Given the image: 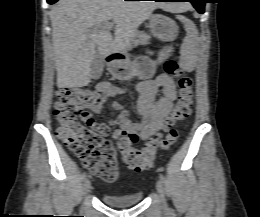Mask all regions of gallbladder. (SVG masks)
<instances>
[{
    "label": "gallbladder",
    "instance_id": "bac80fb5",
    "mask_svg": "<svg viewBox=\"0 0 260 217\" xmlns=\"http://www.w3.org/2000/svg\"><path fill=\"white\" fill-rule=\"evenodd\" d=\"M103 62H102V58L100 56V54L98 52H96L92 63H91V78L94 80H97L101 77L102 73H103Z\"/></svg>",
    "mask_w": 260,
    "mask_h": 217
}]
</instances>
